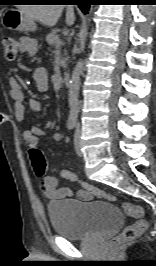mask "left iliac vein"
<instances>
[{"label": "left iliac vein", "instance_id": "4c4485c4", "mask_svg": "<svg viewBox=\"0 0 156 266\" xmlns=\"http://www.w3.org/2000/svg\"><path fill=\"white\" fill-rule=\"evenodd\" d=\"M80 137H81V130H80V127H79V124H78L77 128L75 130V134H74V146H75L76 153L79 156H82L83 153L81 151Z\"/></svg>", "mask_w": 156, "mask_h": 266}]
</instances>
